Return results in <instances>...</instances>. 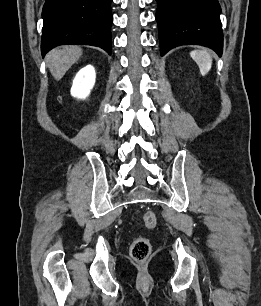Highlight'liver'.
Returning <instances> with one entry per match:
<instances>
[{
	"label": "liver",
	"mask_w": 261,
	"mask_h": 306,
	"mask_svg": "<svg viewBox=\"0 0 261 306\" xmlns=\"http://www.w3.org/2000/svg\"><path fill=\"white\" fill-rule=\"evenodd\" d=\"M82 55V49L78 46H67L52 49L46 55L47 66L55 80L59 81L75 64Z\"/></svg>",
	"instance_id": "6515ba94"
}]
</instances>
